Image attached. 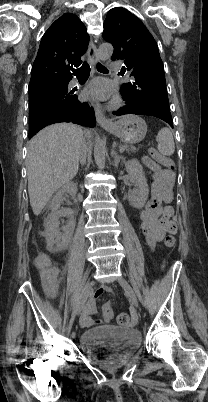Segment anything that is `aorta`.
I'll list each match as a JSON object with an SVG mask.
<instances>
[{"instance_id":"1","label":"aorta","mask_w":208,"mask_h":402,"mask_svg":"<svg viewBox=\"0 0 208 402\" xmlns=\"http://www.w3.org/2000/svg\"><path fill=\"white\" fill-rule=\"evenodd\" d=\"M113 54V48L110 44H101L97 50L96 60H101V62H105V60H110ZM105 154L106 148L104 142L99 140L97 144H95L94 148V158L97 166L100 168H104L105 166Z\"/></svg>"}]
</instances>
